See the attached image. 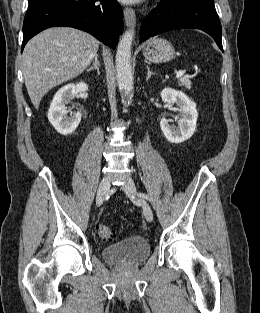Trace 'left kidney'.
I'll return each mask as SVG.
<instances>
[{
  "label": "left kidney",
  "instance_id": "left-kidney-1",
  "mask_svg": "<svg viewBox=\"0 0 260 313\" xmlns=\"http://www.w3.org/2000/svg\"><path fill=\"white\" fill-rule=\"evenodd\" d=\"M160 95L164 103L176 104L181 115L178 127L170 125L167 119H162L160 121L161 130L169 142L175 144L182 143L195 132L198 118L196 104L183 92L171 88L163 89Z\"/></svg>",
  "mask_w": 260,
  "mask_h": 313
}]
</instances>
